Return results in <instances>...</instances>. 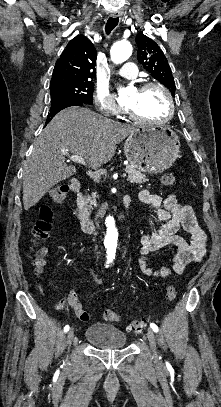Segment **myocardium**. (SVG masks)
<instances>
[{
  "instance_id": "f54148a6",
  "label": "myocardium",
  "mask_w": 221,
  "mask_h": 407,
  "mask_svg": "<svg viewBox=\"0 0 221 407\" xmlns=\"http://www.w3.org/2000/svg\"><path fill=\"white\" fill-rule=\"evenodd\" d=\"M151 88H158L160 89L166 96L167 102H168V112L165 118L161 120H147L142 118L139 114L136 113L135 110L129 107H124L125 112L136 122L141 123V124H149V125H162L168 123L175 112V103L173 99V95L171 91L163 84L158 83V82H147L142 84L139 88L138 91L140 92H145Z\"/></svg>"
}]
</instances>
